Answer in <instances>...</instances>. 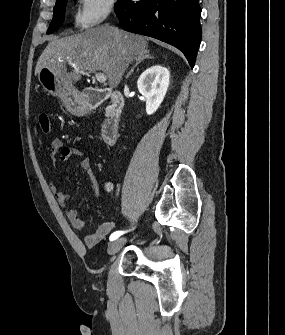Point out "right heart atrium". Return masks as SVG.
I'll return each instance as SVG.
<instances>
[{
  "instance_id": "right-heart-atrium-1",
  "label": "right heart atrium",
  "mask_w": 285,
  "mask_h": 335,
  "mask_svg": "<svg viewBox=\"0 0 285 335\" xmlns=\"http://www.w3.org/2000/svg\"><path fill=\"white\" fill-rule=\"evenodd\" d=\"M113 8L114 1H81L72 18L77 26L91 28L102 23Z\"/></svg>"
}]
</instances>
